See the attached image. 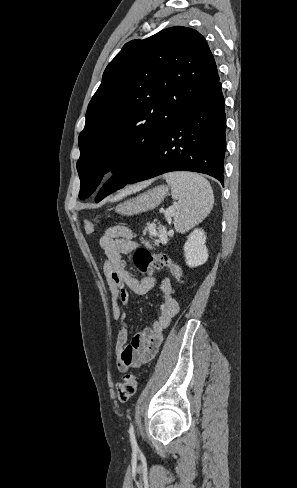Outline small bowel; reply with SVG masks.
I'll use <instances>...</instances> for the list:
<instances>
[{"instance_id": "obj_1", "label": "small bowel", "mask_w": 297, "mask_h": 488, "mask_svg": "<svg viewBox=\"0 0 297 488\" xmlns=\"http://www.w3.org/2000/svg\"><path fill=\"white\" fill-rule=\"evenodd\" d=\"M99 247L105 255L103 272L110 292L112 318L116 325L115 355L119 371L125 372L150 361L163 340V331L178 313L179 304L173 296L169 277L159 281L160 305L158 315L152 317L151 325L133 336L128 343V327L125 307L131 302L130 291L138 295L148 293L156 283L153 275L142 279L133 277L124 267L121 255L139 249L133 241V233L127 226L116 225L105 230L99 239Z\"/></svg>"}]
</instances>
